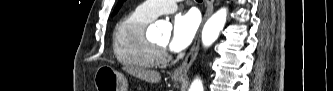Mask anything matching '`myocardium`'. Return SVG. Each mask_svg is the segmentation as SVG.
<instances>
[{
	"mask_svg": "<svg viewBox=\"0 0 333 91\" xmlns=\"http://www.w3.org/2000/svg\"><path fill=\"white\" fill-rule=\"evenodd\" d=\"M153 49H154V54L156 58V62L158 63H165L168 60V54L166 52V48L160 45H157L155 43H151Z\"/></svg>",
	"mask_w": 333,
	"mask_h": 91,
	"instance_id": "1",
	"label": "myocardium"
}]
</instances>
